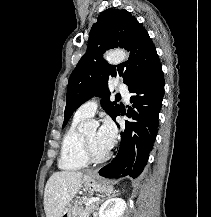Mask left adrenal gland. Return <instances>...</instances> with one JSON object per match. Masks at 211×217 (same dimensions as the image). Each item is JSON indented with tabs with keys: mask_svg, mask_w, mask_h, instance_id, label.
<instances>
[{
	"mask_svg": "<svg viewBox=\"0 0 211 217\" xmlns=\"http://www.w3.org/2000/svg\"><path fill=\"white\" fill-rule=\"evenodd\" d=\"M112 196H115V192L113 193ZM107 197H110V195H107ZM103 201H104V198H102L100 201H98V202L96 203V205H95V209H97L98 206H99V204H100L101 202H103Z\"/></svg>",
	"mask_w": 211,
	"mask_h": 217,
	"instance_id": "a2214340",
	"label": "left adrenal gland"
}]
</instances>
